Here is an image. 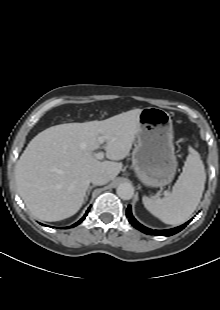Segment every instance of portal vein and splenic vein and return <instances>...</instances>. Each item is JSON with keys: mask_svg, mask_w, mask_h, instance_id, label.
<instances>
[{"mask_svg": "<svg viewBox=\"0 0 220 310\" xmlns=\"http://www.w3.org/2000/svg\"><path fill=\"white\" fill-rule=\"evenodd\" d=\"M98 140H99L100 144H103L104 141H105L104 137H102V136L99 137ZM94 156H95L96 159L101 160V159L104 158V152L101 151V152L95 153Z\"/></svg>", "mask_w": 220, "mask_h": 310, "instance_id": "1", "label": "portal vein and splenic vein"}]
</instances>
